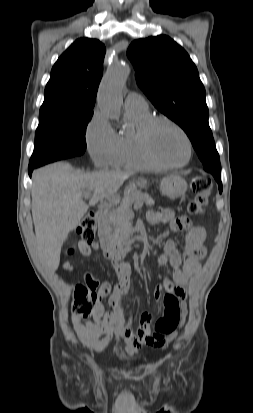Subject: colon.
<instances>
[{
	"instance_id": "1",
	"label": "colon",
	"mask_w": 253,
	"mask_h": 413,
	"mask_svg": "<svg viewBox=\"0 0 253 413\" xmlns=\"http://www.w3.org/2000/svg\"><path fill=\"white\" fill-rule=\"evenodd\" d=\"M194 198L189 202L188 213L194 216L203 214L209 200L211 183L207 178L194 177L190 182ZM97 222L93 214L85 216L78 227L81 242L90 244L95 238ZM70 254L72 249L68 251ZM105 293V292H104ZM97 284L78 285L74 289L72 313L81 318L89 317L103 298ZM162 313L156 320L153 337L163 344L179 327L182 319L179 297L169 291L161 300Z\"/></svg>"
}]
</instances>
